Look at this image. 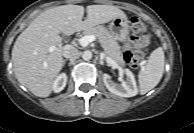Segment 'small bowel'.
I'll return each instance as SVG.
<instances>
[{"instance_id":"obj_1","label":"small bowel","mask_w":194,"mask_h":133,"mask_svg":"<svg viewBox=\"0 0 194 133\" xmlns=\"http://www.w3.org/2000/svg\"><path fill=\"white\" fill-rule=\"evenodd\" d=\"M148 44V39L146 37H131L126 42V48H134L136 47V50L140 52L141 54H146L148 52V47L146 46Z\"/></svg>"}]
</instances>
